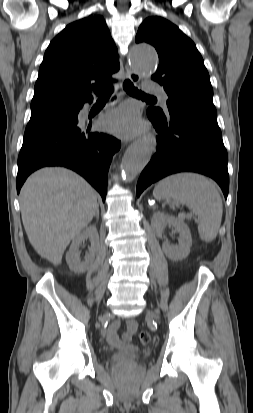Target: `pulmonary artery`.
Listing matches in <instances>:
<instances>
[{"instance_id":"obj_1","label":"pulmonary artery","mask_w":253,"mask_h":413,"mask_svg":"<svg viewBox=\"0 0 253 413\" xmlns=\"http://www.w3.org/2000/svg\"><path fill=\"white\" fill-rule=\"evenodd\" d=\"M143 88L147 93L158 95L161 101L166 105L168 96L165 93V91L162 89V87H160L159 85L155 83H146Z\"/></svg>"}]
</instances>
